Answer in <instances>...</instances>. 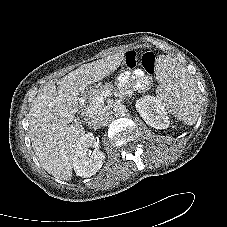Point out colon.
I'll list each match as a JSON object with an SVG mask.
<instances>
[{
	"instance_id": "5ec220e1",
	"label": "colon",
	"mask_w": 227,
	"mask_h": 227,
	"mask_svg": "<svg viewBox=\"0 0 227 227\" xmlns=\"http://www.w3.org/2000/svg\"><path fill=\"white\" fill-rule=\"evenodd\" d=\"M137 56L135 52H128L122 63V69H133L137 66ZM140 64L148 74L156 71V56L152 52H146L141 56Z\"/></svg>"
}]
</instances>
